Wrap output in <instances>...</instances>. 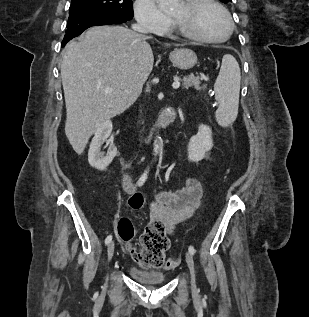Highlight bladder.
Returning <instances> with one entry per match:
<instances>
[{
    "instance_id": "bladder-1",
    "label": "bladder",
    "mask_w": 309,
    "mask_h": 317,
    "mask_svg": "<svg viewBox=\"0 0 309 317\" xmlns=\"http://www.w3.org/2000/svg\"><path fill=\"white\" fill-rule=\"evenodd\" d=\"M128 272L134 280L142 284H162L166 280L165 274L158 270H144L131 266L129 267Z\"/></svg>"
}]
</instances>
